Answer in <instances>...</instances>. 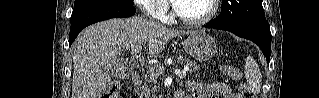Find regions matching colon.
<instances>
[{
	"mask_svg": "<svg viewBox=\"0 0 319 98\" xmlns=\"http://www.w3.org/2000/svg\"><path fill=\"white\" fill-rule=\"evenodd\" d=\"M220 70L227 76L233 79H239V72L230 66H221ZM242 98H254V92L246 85L241 83L239 86ZM120 93V83L117 81L112 82L102 93V98H118Z\"/></svg>",
	"mask_w": 319,
	"mask_h": 98,
	"instance_id": "colon-1",
	"label": "colon"
}]
</instances>
